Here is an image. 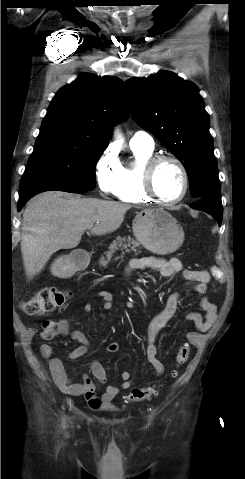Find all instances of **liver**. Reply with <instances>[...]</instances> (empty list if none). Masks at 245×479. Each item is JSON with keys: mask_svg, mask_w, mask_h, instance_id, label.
I'll return each mask as SVG.
<instances>
[{"mask_svg": "<svg viewBox=\"0 0 245 479\" xmlns=\"http://www.w3.org/2000/svg\"><path fill=\"white\" fill-rule=\"evenodd\" d=\"M130 208L124 203L61 192L35 196L22 221L21 252L27 277L40 273L58 250L77 247L89 227L97 236L116 231Z\"/></svg>", "mask_w": 245, "mask_h": 479, "instance_id": "liver-1", "label": "liver"}]
</instances>
